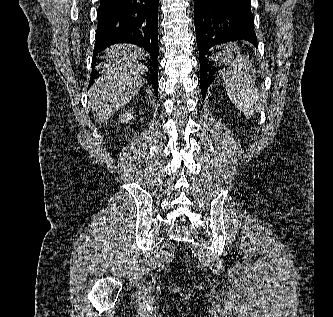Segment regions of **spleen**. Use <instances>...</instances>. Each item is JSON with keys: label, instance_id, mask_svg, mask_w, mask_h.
I'll list each match as a JSON object with an SVG mask.
<instances>
[{"label": "spleen", "instance_id": "obj_1", "mask_svg": "<svg viewBox=\"0 0 333 317\" xmlns=\"http://www.w3.org/2000/svg\"><path fill=\"white\" fill-rule=\"evenodd\" d=\"M228 60L231 66L221 71L227 94L245 117L250 118L259 99L258 89L252 81L254 71L243 56L228 54Z\"/></svg>", "mask_w": 333, "mask_h": 317}]
</instances>
